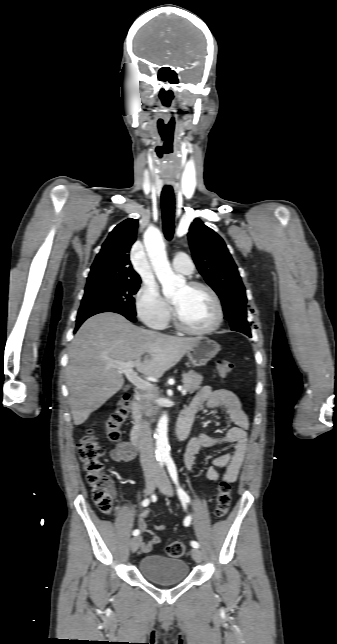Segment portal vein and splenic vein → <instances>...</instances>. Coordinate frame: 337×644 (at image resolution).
I'll return each instance as SVG.
<instances>
[{"label":"portal vein and splenic vein","mask_w":337,"mask_h":644,"mask_svg":"<svg viewBox=\"0 0 337 644\" xmlns=\"http://www.w3.org/2000/svg\"><path fill=\"white\" fill-rule=\"evenodd\" d=\"M111 366L114 367V368H117L120 371H122L126 375L127 379L134 386H136L137 388L142 389V390H147V391L154 389V385H152L149 382L141 379L133 371V367H134V362L133 361H129V362H117V361H115V362H113L111 364ZM181 393H182L183 396L186 395L187 394L186 389L183 388L181 390Z\"/></svg>","instance_id":"obj_1"}]
</instances>
